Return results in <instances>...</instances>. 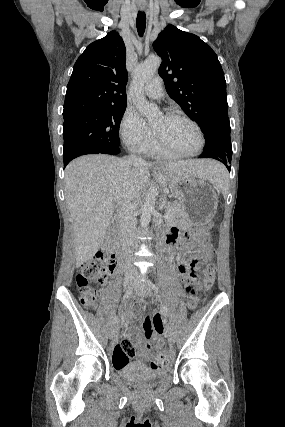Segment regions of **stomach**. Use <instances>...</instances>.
<instances>
[{"instance_id": "1", "label": "stomach", "mask_w": 285, "mask_h": 427, "mask_svg": "<svg viewBox=\"0 0 285 427\" xmlns=\"http://www.w3.org/2000/svg\"><path fill=\"white\" fill-rule=\"evenodd\" d=\"M169 187L179 200L184 220L194 225L212 220L218 206L213 186L204 180H196L191 174H178L171 179Z\"/></svg>"}]
</instances>
